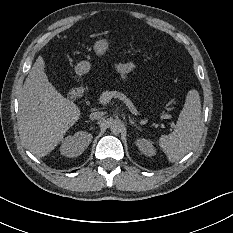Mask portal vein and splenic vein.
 Instances as JSON below:
<instances>
[{"label": "portal vein and splenic vein", "mask_w": 233, "mask_h": 233, "mask_svg": "<svg viewBox=\"0 0 233 233\" xmlns=\"http://www.w3.org/2000/svg\"><path fill=\"white\" fill-rule=\"evenodd\" d=\"M112 98H118V99L122 100L123 103H126L127 108H129L133 114H135V115L138 114V111L133 106L132 101H128V97H125V94L119 93L117 91H110V92L103 93L100 96L99 102H101V104H106Z\"/></svg>", "instance_id": "portal-vein-and-splenic-vein-1"}]
</instances>
